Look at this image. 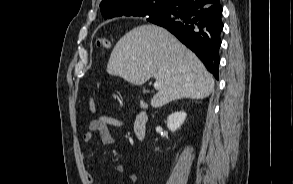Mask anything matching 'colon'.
<instances>
[{
	"label": "colon",
	"instance_id": "5ec220e1",
	"mask_svg": "<svg viewBox=\"0 0 293 184\" xmlns=\"http://www.w3.org/2000/svg\"><path fill=\"white\" fill-rule=\"evenodd\" d=\"M96 44L99 48L107 49L110 47V41L107 38L100 37L97 39ZM89 110L94 113L96 111V105L94 99L89 101Z\"/></svg>",
	"mask_w": 293,
	"mask_h": 184
}]
</instances>
